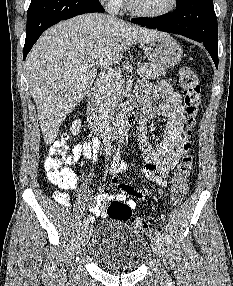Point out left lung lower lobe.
Segmentation results:
<instances>
[{
	"label": "left lung lower lobe",
	"mask_w": 233,
	"mask_h": 286,
	"mask_svg": "<svg viewBox=\"0 0 233 286\" xmlns=\"http://www.w3.org/2000/svg\"><path fill=\"white\" fill-rule=\"evenodd\" d=\"M172 14L133 18L134 23L180 34L203 43L218 67V25L213 0H179Z\"/></svg>",
	"instance_id": "left-lung-lower-lobe-1"
}]
</instances>
